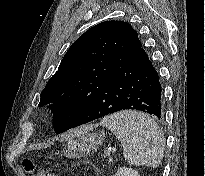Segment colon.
Instances as JSON below:
<instances>
[{
    "label": "colon",
    "instance_id": "5ec220e1",
    "mask_svg": "<svg viewBox=\"0 0 205 176\" xmlns=\"http://www.w3.org/2000/svg\"><path fill=\"white\" fill-rule=\"evenodd\" d=\"M26 169L33 176H52V174L49 173L47 170L39 168L30 162L26 163Z\"/></svg>",
    "mask_w": 205,
    "mask_h": 176
}]
</instances>
